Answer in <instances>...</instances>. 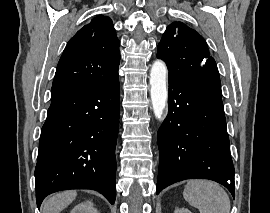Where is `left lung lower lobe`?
Segmentation results:
<instances>
[{
    "label": "left lung lower lobe",
    "instance_id": "left-lung-lower-lobe-1",
    "mask_svg": "<svg viewBox=\"0 0 270 213\" xmlns=\"http://www.w3.org/2000/svg\"><path fill=\"white\" fill-rule=\"evenodd\" d=\"M168 115L158 131L156 193L185 179H210L234 193L222 92L195 80H169Z\"/></svg>",
    "mask_w": 270,
    "mask_h": 213
}]
</instances>
